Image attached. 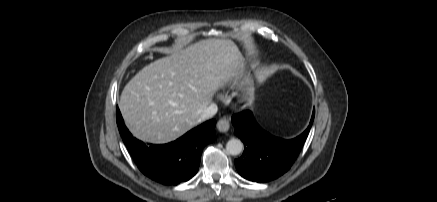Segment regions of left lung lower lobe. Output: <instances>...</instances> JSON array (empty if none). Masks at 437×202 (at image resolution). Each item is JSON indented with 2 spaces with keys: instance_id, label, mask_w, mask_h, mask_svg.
I'll return each mask as SVG.
<instances>
[{
  "instance_id": "0a47b994",
  "label": "left lung lower lobe",
  "mask_w": 437,
  "mask_h": 202,
  "mask_svg": "<svg viewBox=\"0 0 437 202\" xmlns=\"http://www.w3.org/2000/svg\"><path fill=\"white\" fill-rule=\"evenodd\" d=\"M315 109L308 128L298 137L284 140L264 131L255 121L251 111L235 114L232 123L234 133L243 141L244 152L236 159L238 173L253 182L264 183L274 180L292 166L309 134Z\"/></svg>"
}]
</instances>
